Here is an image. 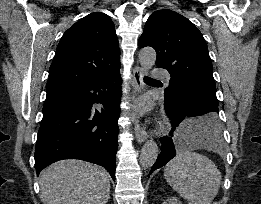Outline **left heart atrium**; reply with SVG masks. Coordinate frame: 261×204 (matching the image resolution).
<instances>
[{
  "mask_svg": "<svg viewBox=\"0 0 261 204\" xmlns=\"http://www.w3.org/2000/svg\"><path fill=\"white\" fill-rule=\"evenodd\" d=\"M135 111L137 113H141L143 111V105L142 104H137L135 107Z\"/></svg>",
  "mask_w": 261,
  "mask_h": 204,
  "instance_id": "39dd6f15",
  "label": "left heart atrium"
}]
</instances>
